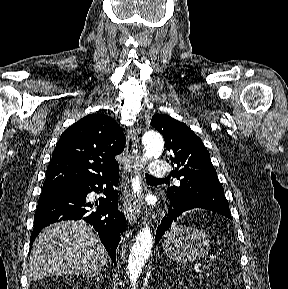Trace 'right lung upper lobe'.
Listing matches in <instances>:
<instances>
[{
  "label": "right lung upper lobe",
  "instance_id": "1",
  "mask_svg": "<svg viewBox=\"0 0 288 289\" xmlns=\"http://www.w3.org/2000/svg\"><path fill=\"white\" fill-rule=\"evenodd\" d=\"M121 127L102 114L88 115L65 130L47 168L43 190L63 187L119 168L115 156L124 150Z\"/></svg>",
  "mask_w": 288,
  "mask_h": 289
}]
</instances>
